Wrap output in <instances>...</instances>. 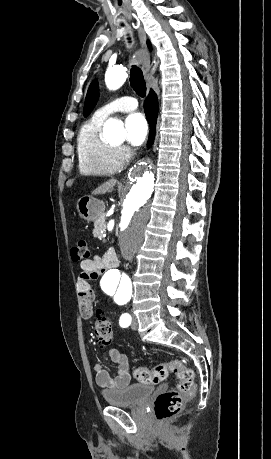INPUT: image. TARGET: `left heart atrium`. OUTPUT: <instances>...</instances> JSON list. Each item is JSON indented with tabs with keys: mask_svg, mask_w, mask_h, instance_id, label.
Masks as SVG:
<instances>
[{
	"mask_svg": "<svg viewBox=\"0 0 271 459\" xmlns=\"http://www.w3.org/2000/svg\"><path fill=\"white\" fill-rule=\"evenodd\" d=\"M148 127L144 116L134 113L126 119V139L134 147L140 146L146 139Z\"/></svg>",
	"mask_w": 271,
	"mask_h": 459,
	"instance_id": "1",
	"label": "left heart atrium"
}]
</instances>
